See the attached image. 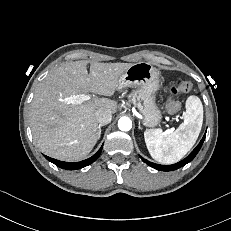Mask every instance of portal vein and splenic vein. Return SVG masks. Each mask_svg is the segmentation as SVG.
I'll use <instances>...</instances> for the list:
<instances>
[{"mask_svg": "<svg viewBox=\"0 0 231 231\" xmlns=\"http://www.w3.org/2000/svg\"><path fill=\"white\" fill-rule=\"evenodd\" d=\"M89 99H90V96L86 95V94H79V95H75V96L68 98L70 103H73V104H80V103L87 101Z\"/></svg>", "mask_w": 231, "mask_h": 231, "instance_id": "1", "label": "portal vein and splenic vein"}]
</instances>
